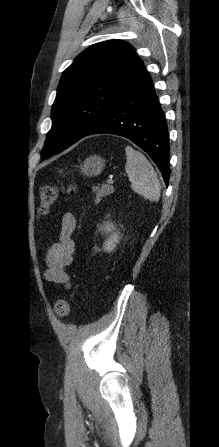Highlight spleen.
I'll use <instances>...</instances> for the list:
<instances>
[{
  "mask_svg": "<svg viewBox=\"0 0 219 447\" xmlns=\"http://www.w3.org/2000/svg\"><path fill=\"white\" fill-rule=\"evenodd\" d=\"M125 171L131 181V188L145 199L157 202L160 197V183L147 158L131 147L125 148Z\"/></svg>",
  "mask_w": 219,
  "mask_h": 447,
  "instance_id": "spleen-1",
  "label": "spleen"
}]
</instances>
